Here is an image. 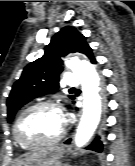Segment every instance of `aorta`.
I'll return each instance as SVG.
<instances>
[{
  "mask_svg": "<svg viewBox=\"0 0 135 166\" xmlns=\"http://www.w3.org/2000/svg\"><path fill=\"white\" fill-rule=\"evenodd\" d=\"M66 66L79 78L83 92V115L75 135L77 147H83L92 137L101 115V96L99 76L95 67L87 60L72 57L66 60Z\"/></svg>",
  "mask_w": 135,
  "mask_h": 166,
  "instance_id": "obj_1",
  "label": "aorta"
}]
</instances>
